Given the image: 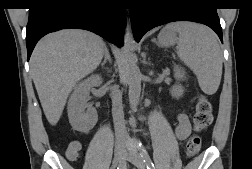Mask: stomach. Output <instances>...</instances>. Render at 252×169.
I'll return each mask as SVG.
<instances>
[{
	"label": "stomach",
	"instance_id": "0dacf381",
	"mask_svg": "<svg viewBox=\"0 0 252 169\" xmlns=\"http://www.w3.org/2000/svg\"><path fill=\"white\" fill-rule=\"evenodd\" d=\"M178 40L177 31L171 25L162 29L158 35V42L161 46L174 45Z\"/></svg>",
	"mask_w": 252,
	"mask_h": 169
}]
</instances>
